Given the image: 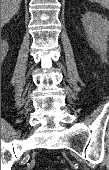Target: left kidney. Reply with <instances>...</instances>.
<instances>
[{
	"label": "left kidney",
	"mask_w": 109,
	"mask_h": 170,
	"mask_svg": "<svg viewBox=\"0 0 109 170\" xmlns=\"http://www.w3.org/2000/svg\"><path fill=\"white\" fill-rule=\"evenodd\" d=\"M82 23L87 33L90 46L100 53H106L109 33V22L95 12H86Z\"/></svg>",
	"instance_id": "obj_1"
}]
</instances>
